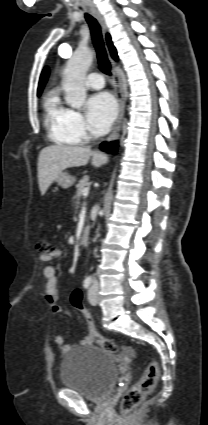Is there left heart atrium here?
<instances>
[{"label": "left heart atrium", "instance_id": "obj_1", "mask_svg": "<svg viewBox=\"0 0 208 425\" xmlns=\"http://www.w3.org/2000/svg\"><path fill=\"white\" fill-rule=\"evenodd\" d=\"M117 114L114 98L106 92L98 93L87 101V121L95 134H105L111 127Z\"/></svg>", "mask_w": 208, "mask_h": 425}]
</instances>
